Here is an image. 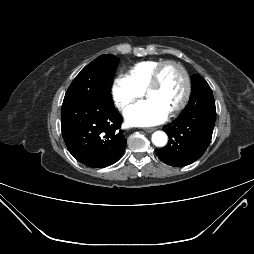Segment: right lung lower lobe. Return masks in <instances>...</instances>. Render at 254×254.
I'll return each mask as SVG.
<instances>
[{"label":"right lung lower lobe","mask_w":254,"mask_h":254,"mask_svg":"<svg viewBox=\"0 0 254 254\" xmlns=\"http://www.w3.org/2000/svg\"><path fill=\"white\" fill-rule=\"evenodd\" d=\"M122 121L114 105L99 106L73 98L62 104L65 144L76 160L89 167H107L121 158L126 146Z\"/></svg>","instance_id":"obj_1"}]
</instances>
